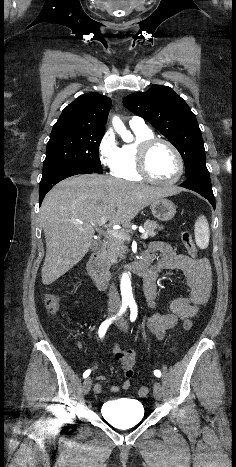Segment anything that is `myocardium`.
Returning <instances> with one entry per match:
<instances>
[{
    "label": "myocardium",
    "mask_w": 236,
    "mask_h": 467,
    "mask_svg": "<svg viewBox=\"0 0 236 467\" xmlns=\"http://www.w3.org/2000/svg\"><path fill=\"white\" fill-rule=\"evenodd\" d=\"M156 144H164L168 146L178 161V172L176 176L170 180H159L154 178L148 169V157L150 151ZM136 169L138 174L148 182L158 185H171L177 183L184 174L185 164L184 159L178 148L169 140L160 137H149L142 140L136 149Z\"/></svg>",
    "instance_id": "f54148a6"
}]
</instances>
